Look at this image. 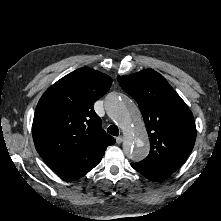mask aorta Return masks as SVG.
Instances as JSON below:
<instances>
[{"label": "aorta", "mask_w": 221, "mask_h": 221, "mask_svg": "<svg viewBox=\"0 0 221 221\" xmlns=\"http://www.w3.org/2000/svg\"><path fill=\"white\" fill-rule=\"evenodd\" d=\"M105 108L123 131L125 155L135 162L143 160L148 155L150 145L137 106L127 96L111 93L106 98Z\"/></svg>", "instance_id": "aorta-1"}]
</instances>
